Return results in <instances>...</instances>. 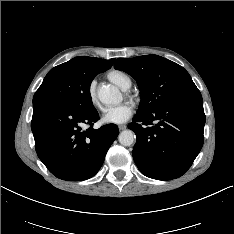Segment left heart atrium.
I'll return each mask as SVG.
<instances>
[{
    "label": "left heart atrium",
    "instance_id": "obj_1",
    "mask_svg": "<svg viewBox=\"0 0 234 234\" xmlns=\"http://www.w3.org/2000/svg\"><path fill=\"white\" fill-rule=\"evenodd\" d=\"M133 112L129 103H122L107 109L103 115V121L108 124H122L131 118Z\"/></svg>",
    "mask_w": 234,
    "mask_h": 234
}]
</instances>
